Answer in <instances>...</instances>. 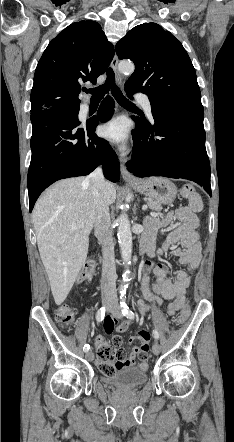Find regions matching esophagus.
<instances>
[{"label":"esophagus","instance_id":"1","mask_svg":"<svg viewBox=\"0 0 234 442\" xmlns=\"http://www.w3.org/2000/svg\"><path fill=\"white\" fill-rule=\"evenodd\" d=\"M111 67L115 72L116 82L118 85H122V76L118 71V57L116 53L113 56L111 61ZM121 176L127 182H136L138 181L136 177H134L127 169L126 163L124 159H121Z\"/></svg>","mask_w":234,"mask_h":442}]
</instances>
